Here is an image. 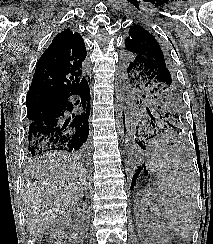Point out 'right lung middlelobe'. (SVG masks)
<instances>
[{
    "label": "right lung middle lobe",
    "instance_id": "1",
    "mask_svg": "<svg viewBox=\"0 0 213 244\" xmlns=\"http://www.w3.org/2000/svg\"><path fill=\"white\" fill-rule=\"evenodd\" d=\"M57 97L51 95H40L32 98H27V116L31 120L42 106L48 101H51Z\"/></svg>",
    "mask_w": 213,
    "mask_h": 244
}]
</instances>
